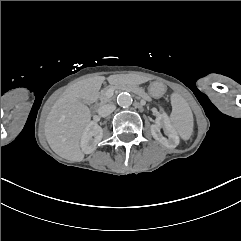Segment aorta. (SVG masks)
<instances>
[{
	"mask_svg": "<svg viewBox=\"0 0 241 241\" xmlns=\"http://www.w3.org/2000/svg\"><path fill=\"white\" fill-rule=\"evenodd\" d=\"M133 102L132 96L127 93H120L117 97V103L120 107L126 108L129 107Z\"/></svg>",
	"mask_w": 241,
	"mask_h": 241,
	"instance_id": "obj_1",
	"label": "aorta"
}]
</instances>
